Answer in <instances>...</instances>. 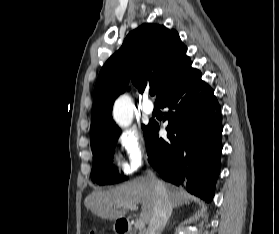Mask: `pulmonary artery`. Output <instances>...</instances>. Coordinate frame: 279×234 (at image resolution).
<instances>
[{"label":"pulmonary artery","instance_id":"1","mask_svg":"<svg viewBox=\"0 0 279 234\" xmlns=\"http://www.w3.org/2000/svg\"><path fill=\"white\" fill-rule=\"evenodd\" d=\"M142 109L146 114H152L154 111V105L149 99H145L142 105Z\"/></svg>","mask_w":279,"mask_h":234}]
</instances>
